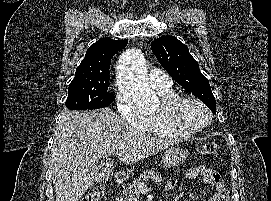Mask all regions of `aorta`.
Listing matches in <instances>:
<instances>
[{"label": "aorta", "mask_w": 271, "mask_h": 201, "mask_svg": "<svg viewBox=\"0 0 271 201\" xmlns=\"http://www.w3.org/2000/svg\"><path fill=\"white\" fill-rule=\"evenodd\" d=\"M117 79L124 93L139 107L155 108L158 99L149 88L143 54L138 49H128L117 64Z\"/></svg>", "instance_id": "762f6f07"}]
</instances>
